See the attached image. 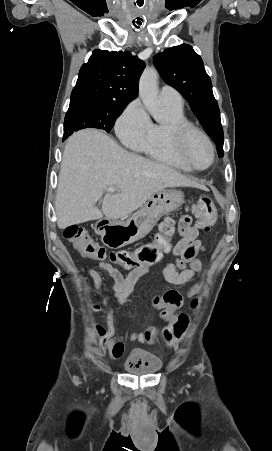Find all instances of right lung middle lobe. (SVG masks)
<instances>
[{
    "label": "right lung middle lobe",
    "mask_w": 272,
    "mask_h": 451,
    "mask_svg": "<svg viewBox=\"0 0 272 451\" xmlns=\"http://www.w3.org/2000/svg\"><path fill=\"white\" fill-rule=\"evenodd\" d=\"M127 103L104 101H79L70 103L64 120L65 140L74 131L83 128H97L110 132L116 118Z\"/></svg>",
    "instance_id": "dd1d6c3e"
}]
</instances>
